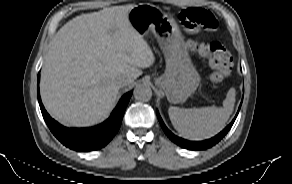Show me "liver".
<instances>
[{
  "mask_svg": "<svg viewBox=\"0 0 292 184\" xmlns=\"http://www.w3.org/2000/svg\"><path fill=\"white\" fill-rule=\"evenodd\" d=\"M132 5L82 14L55 35L40 82L48 113L65 126L87 127L113 109L126 78L131 84L155 57L128 19Z\"/></svg>",
  "mask_w": 292,
  "mask_h": 184,
  "instance_id": "6515ba94",
  "label": "liver"
}]
</instances>
